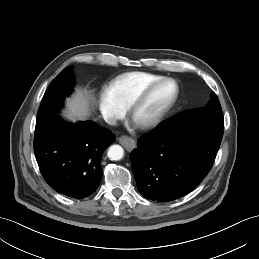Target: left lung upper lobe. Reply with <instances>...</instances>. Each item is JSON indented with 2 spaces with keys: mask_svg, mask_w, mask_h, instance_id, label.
<instances>
[{
  "mask_svg": "<svg viewBox=\"0 0 259 259\" xmlns=\"http://www.w3.org/2000/svg\"><path fill=\"white\" fill-rule=\"evenodd\" d=\"M190 115H198V116L211 117V118H223L220 102H219L216 94L214 92H212L211 101L206 107L182 112L180 114H177V115L167 119L166 121L163 122V124H166V123L175 121L179 118H182L185 116H190Z\"/></svg>",
  "mask_w": 259,
  "mask_h": 259,
  "instance_id": "obj_1",
  "label": "left lung upper lobe"
}]
</instances>
